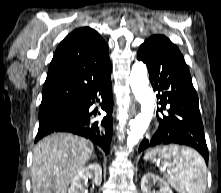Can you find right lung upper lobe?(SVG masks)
<instances>
[{
    "label": "right lung upper lobe",
    "instance_id": "1",
    "mask_svg": "<svg viewBox=\"0 0 221 193\" xmlns=\"http://www.w3.org/2000/svg\"><path fill=\"white\" fill-rule=\"evenodd\" d=\"M110 65L108 46L95 30L89 27L74 30L54 54L42 102L80 99L93 79Z\"/></svg>",
    "mask_w": 221,
    "mask_h": 193
}]
</instances>
